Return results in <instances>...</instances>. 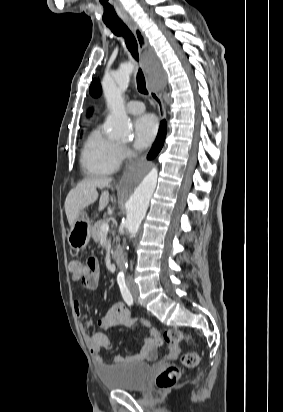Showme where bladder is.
I'll use <instances>...</instances> for the list:
<instances>
[{
  "label": "bladder",
  "instance_id": "bladder-1",
  "mask_svg": "<svg viewBox=\"0 0 283 412\" xmlns=\"http://www.w3.org/2000/svg\"><path fill=\"white\" fill-rule=\"evenodd\" d=\"M149 371L147 363H122L108 367L99 377L109 389L137 391L146 386Z\"/></svg>",
  "mask_w": 283,
  "mask_h": 412
}]
</instances>
